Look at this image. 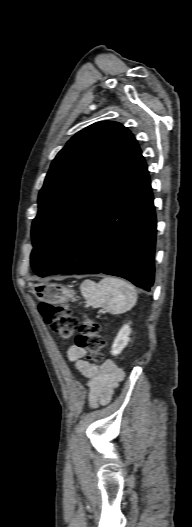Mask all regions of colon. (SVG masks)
I'll list each match as a JSON object with an SVG mask.
<instances>
[{"label": "colon", "mask_w": 192, "mask_h": 527, "mask_svg": "<svg viewBox=\"0 0 192 527\" xmlns=\"http://www.w3.org/2000/svg\"><path fill=\"white\" fill-rule=\"evenodd\" d=\"M39 312L51 331L63 340L70 339L77 329L75 343L87 352V359L93 363L103 361L102 349L105 342L100 334V326L95 320L84 316L78 322L66 304L41 303Z\"/></svg>", "instance_id": "colon-1"}]
</instances>
